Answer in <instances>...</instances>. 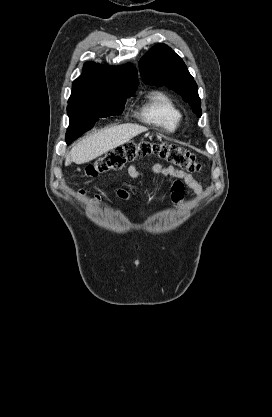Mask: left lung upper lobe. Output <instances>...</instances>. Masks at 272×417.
Masks as SVG:
<instances>
[{
    "instance_id": "5c2ea615",
    "label": "left lung upper lobe",
    "mask_w": 272,
    "mask_h": 417,
    "mask_svg": "<svg viewBox=\"0 0 272 417\" xmlns=\"http://www.w3.org/2000/svg\"><path fill=\"white\" fill-rule=\"evenodd\" d=\"M140 74L146 84L166 86L180 94L192 110L201 116L198 87L185 63L165 44L152 47L139 62Z\"/></svg>"
}]
</instances>
